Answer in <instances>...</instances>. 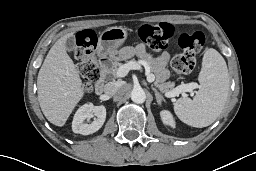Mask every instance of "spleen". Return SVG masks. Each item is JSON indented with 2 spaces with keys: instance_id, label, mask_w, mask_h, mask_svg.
Segmentation results:
<instances>
[{
  "instance_id": "spleen-1",
  "label": "spleen",
  "mask_w": 256,
  "mask_h": 171,
  "mask_svg": "<svg viewBox=\"0 0 256 171\" xmlns=\"http://www.w3.org/2000/svg\"><path fill=\"white\" fill-rule=\"evenodd\" d=\"M198 80L200 87L193 100L187 97L179 98L174 104V112L185 124L202 128L209 126L219 117L230 88L226 62L215 49L206 50Z\"/></svg>"
}]
</instances>
